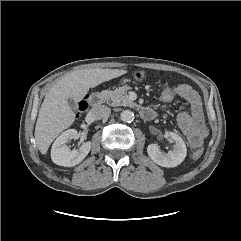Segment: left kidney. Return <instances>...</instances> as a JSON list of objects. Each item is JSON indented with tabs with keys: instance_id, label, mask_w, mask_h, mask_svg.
Masks as SVG:
<instances>
[{
	"instance_id": "1",
	"label": "left kidney",
	"mask_w": 241,
	"mask_h": 241,
	"mask_svg": "<svg viewBox=\"0 0 241 241\" xmlns=\"http://www.w3.org/2000/svg\"><path fill=\"white\" fill-rule=\"evenodd\" d=\"M170 137L175 141L174 149L168 153H162L158 144H149L147 147L148 156L162 167H176L181 164L187 154L186 145L183 139L176 133L170 132Z\"/></svg>"
}]
</instances>
